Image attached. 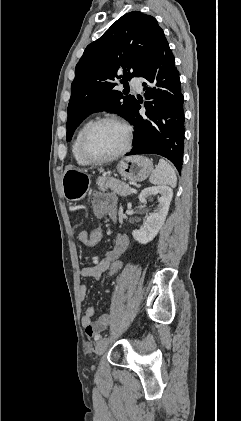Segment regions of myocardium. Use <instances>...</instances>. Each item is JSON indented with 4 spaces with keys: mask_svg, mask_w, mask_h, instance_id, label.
<instances>
[{
    "mask_svg": "<svg viewBox=\"0 0 241 421\" xmlns=\"http://www.w3.org/2000/svg\"><path fill=\"white\" fill-rule=\"evenodd\" d=\"M103 123H115V124H118L121 127H123V129L125 130V142H124V145L122 146V148L119 149L117 152H115L111 155L105 156V157H95V156H92L87 150V140H88V137H89L90 133L97 126H99ZM132 138H133L132 127L126 121L122 120L121 118L115 117V116L100 117V118L92 121L83 131L81 139H80V146H79L80 152H81V155L83 156V158L85 160H87L89 163L102 164V163L110 162L112 160H115V159L123 156L126 152H128V150L131 147Z\"/></svg>",
    "mask_w": 241,
    "mask_h": 421,
    "instance_id": "f54148a6",
    "label": "myocardium"
}]
</instances>
